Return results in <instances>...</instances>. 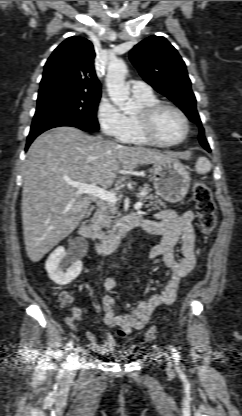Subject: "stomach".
I'll return each instance as SVG.
<instances>
[{
    "label": "stomach",
    "instance_id": "1",
    "mask_svg": "<svg viewBox=\"0 0 242 416\" xmlns=\"http://www.w3.org/2000/svg\"><path fill=\"white\" fill-rule=\"evenodd\" d=\"M153 181L157 195L170 203L181 201L190 187L189 172L173 158L153 164Z\"/></svg>",
    "mask_w": 242,
    "mask_h": 416
}]
</instances>
